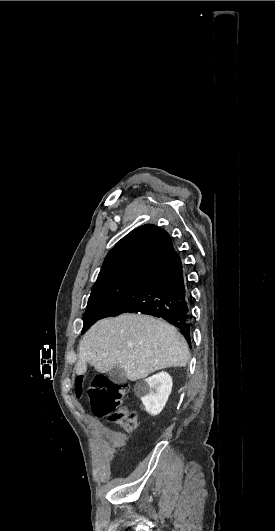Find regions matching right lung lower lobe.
<instances>
[{"label":"right lung lower lobe","instance_id":"1","mask_svg":"<svg viewBox=\"0 0 275 531\" xmlns=\"http://www.w3.org/2000/svg\"><path fill=\"white\" fill-rule=\"evenodd\" d=\"M121 313L163 318L177 327L191 344L189 291L181 258L172 243L145 267L102 318Z\"/></svg>","mask_w":275,"mask_h":531}]
</instances>
